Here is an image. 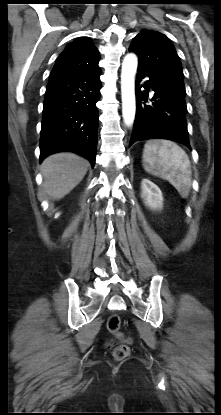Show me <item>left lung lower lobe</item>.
I'll return each instance as SVG.
<instances>
[{
    "label": "left lung lower lobe",
    "instance_id": "1",
    "mask_svg": "<svg viewBox=\"0 0 221 415\" xmlns=\"http://www.w3.org/2000/svg\"><path fill=\"white\" fill-rule=\"evenodd\" d=\"M145 77L149 80L139 84ZM153 91L152 104H147L148 93ZM185 92L167 86L138 70L136 76V116L129 143L149 139H168L190 147L186 120Z\"/></svg>",
    "mask_w": 221,
    "mask_h": 415
}]
</instances>
